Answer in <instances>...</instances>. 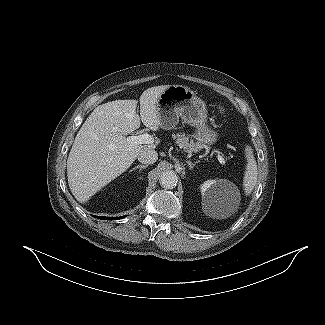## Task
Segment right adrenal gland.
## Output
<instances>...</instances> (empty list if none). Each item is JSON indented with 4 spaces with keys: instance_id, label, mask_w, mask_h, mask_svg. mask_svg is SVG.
Masks as SVG:
<instances>
[{
    "instance_id": "right-adrenal-gland-1",
    "label": "right adrenal gland",
    "mask_w": 325,
    "mask_h": 325,
    "mask_svg": "<svg viewBox=\"0 0 325 325\" xmlns=\"http://www.w3.org/2000/svg\"><path fill=\"white\" fill-rule=\"evenodd\" d=\"M147 167H148V165H137L136 167L132 168L130 170V172H132L133 170H136V169H139V172H140L142 169H145Z\"/></svg>"
}]
</instances>
